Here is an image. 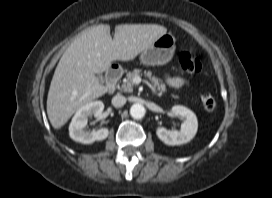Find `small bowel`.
<instances>
[{"label":"small bowel","instance_id":"1","mask_svg":"<svg viewBox=\"0 0 272 198\" xmlns=\"http://www.w3.org/2000/svg\"><path fill=\"white\" fill-rule=\"evenodd\" d=\"M166 81L170 86H173V87H181V86L188 85V81L184 78H181V77L168 76L166 78Z\"/></svg>","mask_w":272,"mask_h":198}]
</instances>
